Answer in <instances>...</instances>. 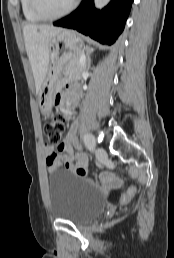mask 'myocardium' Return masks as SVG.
Masks as SVG:
<instances>
[{
    "mask_svg": "<svg viewBox=\"0 0 174 258\" xmlns=\"http://www.w3.org/2000/svg\"><path fill=\"white\" fill-rule=\"evenodd\" d=\"M78 3L79 0H73V2L66 9L59 13L52 14L42 6L41 0H31L32 9L36 14L46 20H55L70 14L77 7Z\"/></svg>",
    "mask_w": 174,
    "mask_h": 258,
    "instance_id": "obj_1",
    "label": "myocardium"
}]
</instances>
